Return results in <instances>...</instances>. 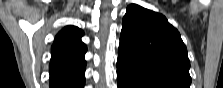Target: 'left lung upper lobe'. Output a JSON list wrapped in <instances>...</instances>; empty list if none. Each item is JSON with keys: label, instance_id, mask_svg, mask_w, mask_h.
Listing matches in <instances>:
<instances>
[{"label": "left lung upper lobe", "instance_id": "left-lung-upper-lobe-1", "mask_svg": "<svg viewBox=\"0 0 223 88\" xmlns=\"http://www.w3.org/2000/svg\"><path fill=\"white\" fill-rule=\"evenodd\" d=\"M117 64L161 88H190V61L180 33L159 13L126 9Z\"/></svg>", "mask_w": 223, "mask_h": 88}]
</instances>
